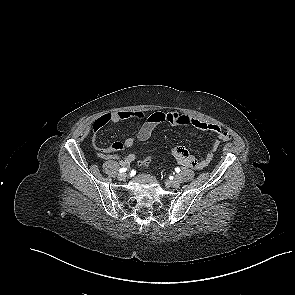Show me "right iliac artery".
I'll return each mask as SVG.
<instances>
[{"label":"right iliac artery","mask_w":295,"mask_h":295,"mask_svg":"<svg viewBox=\"0 0 295 295\" xmlns=\"http://www.w3.org/2000/svg\"><path fill=\"white\" fill-rule=\"evenodd\" d=\"M127 169L126 168H121L120 170H119V172L120 173H123V172H125Z\"/></svg>","instance_id":"82829eb1"}]
</instances>
